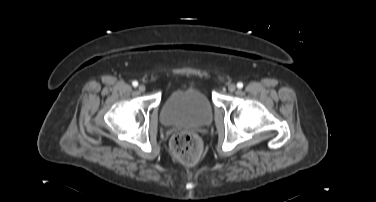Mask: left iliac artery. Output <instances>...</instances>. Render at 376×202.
<instances>
[{
    "instance_id": "44dca946",
    "label": "left iliac artery",
    "mask_w": 376,
    "mask_h": 202,
    "mask_svg": "<svg viewBox=\"0 0 376 202\" xmlns=\"http://www.w3.org/2000/svg\"><path fill=\"white\" fill-rule=\"evenodd\" d=\"M237 87H238L239 89L243 88V83H242V82H238V83H237Z\"/></svg>"
}]
</instances>
